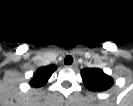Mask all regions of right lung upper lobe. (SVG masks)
<instances>
[{
	"label": "right lung upper lobe",
	"instance_id": "cb5924a9",
	"mask_svg": "<svg viewBox=\"0 0 133 106\" xmlns=\"http://www.w3.org/2000/svg\"><path fill=\"white\" fill-rule=\"evenodd\" d=\"M56 69L57 67L55 65H49L37 69L34 74V77L30 81V85L32 87H41L45 85Z\"/></svg>",
	"mask_w": 133,
	"mask_h": 106
}]
</instances>
